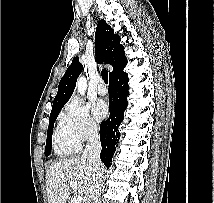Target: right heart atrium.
<instances>
[{"mask_svg":"<svg viewBox=\"0 0 214 203\" xmlns=\"http://www.w3.org/2000/svg\"><path fill=\"white\" fill-rule=\"evenodd\" d=\"M59 122L79 147L85 141L95 137L99 131L88 107L78 99H72L66 104L59 115Z\"/></svg>","mask_w":214,"mask_h":203,"instance_id":"d8ad5b80","label":"right heart atrium"}]
</instances>
